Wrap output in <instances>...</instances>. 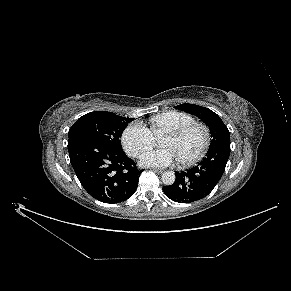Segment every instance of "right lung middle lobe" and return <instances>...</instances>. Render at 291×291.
I'll list each match as a JSON object with an SVG mask.
<instances>
[{
  "label": "right lung middle lobe",
  "mask_w": 291,
  "mask_h": 291,
  "mask_svg": "<svg viewBox=\"0 0 291 291\" xmlns=\"http://www.w3.org/2000/svg\"><path fill=\"white\" fill-rule=\"evenodd\" d=\"M132 120L133 118H125L106 111L90 112L73 124L69 130V139L83 134L123 151L120 137Z\"/></svg>",
  "instance_id": "right-lung-middle-lobe-1"
}]
</instances>
